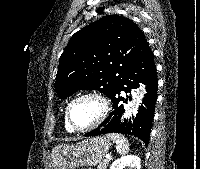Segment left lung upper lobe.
Returning a JSON list of instances; mask_svg holds the SVG:
<instances>
[{
	"label": "left lung upper lobe",
	"instance_id": "left-lung-upper-lobe-1",
	"mask_svg": "<svg viewBox=\"0 0 200 169\" xmlns=\"http://www.w3.org/2000/svg\"><path fill=\"white\" fill-rule=\"evenodd\" d=\"M149 49L133 21L104 16L71 37L60 57L54 87L61 98L83 89L110 97Z\"/></svg>",
	"mask_w": 200,
	"mask_h": 169
}]
</instances>
